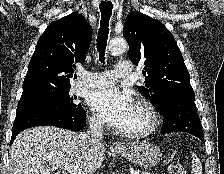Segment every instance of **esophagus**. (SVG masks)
Here are the masks:
<instances>
[{
    "label": "esophagus",
    "mask_w": 224,
    "mask_h": 174,
    "mask_svg": "<svg viewBox=\"0 0 224 174\" xmlns=\"http://www.w3.org/2000/svg\"><path fill=\"white\" fill-rule=\"evenodd\" d=\"M113 148H115V149H124L125 145L122 144V143H114L113 144Z\"/></svg>",
    "instance_id": "34e87169"
}]
</instances>
